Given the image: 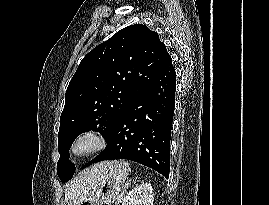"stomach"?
Wrapping results in <instances>:
<instances>
[{"label":"stomach","mask_w":269,"mask_h":205,"mask_svg":"<svg viewBox=\"0 0 269 205\" xmlns=\"http://www.w3.org/2000/svg\"><path fill=\"white\" fill-rule=\"evenodd\" d=\"M130 171L127 162H111L98 176L93 188L85 195L73 199L70 205H117Z\"/></svg>","instance_id":"stomach-1"}]
</instances>
